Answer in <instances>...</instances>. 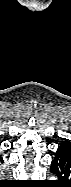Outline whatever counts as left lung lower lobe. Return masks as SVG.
Instances as JSON below:
<instances>
[{
	"mask_svg": "<svg viewBox=\"0 0 71 187\" xmlns=\"http://www.w3.org/2000/svg\"><path fill=\"white\" fill-rule=\"evenodd\" d=\"M51 172L58 176L57 182L71 179V145L60 144L51 162Z\"/></svg>",
	"mask_w": 71,
	"mask_h": 187,
	"instance_id": "0a47b994",
	"label": "left lung lower lobe"
}]
</instances>
